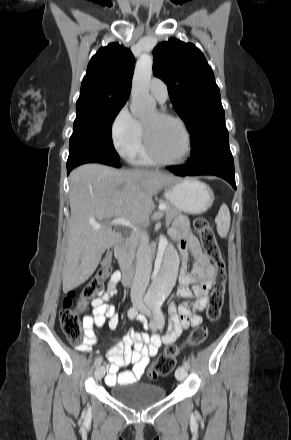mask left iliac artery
<instances>
[{
	"instance_id": "left-iliac-artery-1",
	"label": "left iliac artery",
	"mask_w": 291,
	"mask_h": 440,
	"mask_svg": "<svg viewBox=\"0 0 291 440\" xmlns=\"http://www.w3.org/2000/svg\"><path fill=\"white\" fill-rule=\"evenodd\" d=\"M156 320H157V325L158 326H163L164 325V321L163 318L161 317V313L159 309H156ZM184 367L189 369L190 368V363L189 361H184L183 363Z\"/></svg>"
}]
</instances>
